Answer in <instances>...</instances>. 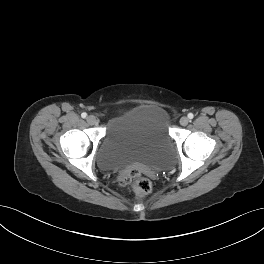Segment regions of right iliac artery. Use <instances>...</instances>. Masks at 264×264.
Segmentation results:
<instances>
[{
	"instance_id": "82829eb1",
	"label": "right iliac artery",
	"mask_w": 264,
	"mask_h": 264,
	"mask_svg": "<svg viewBox=\"0 0 264 264\" xmlns=\"http://www.w3.org/2000/svg\"><path fill=\"white\" fill-rule=\"evenodd\" d=\"M81 117H82V118H86V117H87V114H86L85 112H83V113L81 114Z\"/></svg>"
}]
</instances>
